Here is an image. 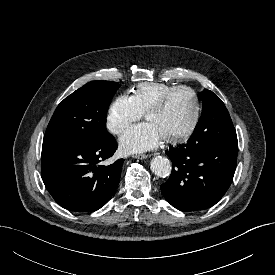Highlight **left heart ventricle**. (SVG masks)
<instances>
[{"label":"left heart ventricle","mask_w":275,"mask_h":275,"mask_svg":"<svg viewBox=\"0 0 275 275\" xmlns=\"http://www.w3.org/2000/svg\"><path fill=\"white\" fill-rule=\"evenodd\" d=\"M194 113V100L190 92H175L165 106L147 115L146 120L152 123L163 139L183 133L190 125Z\"/></svg>","instance_id":"b2bd125f"}]
</instances>
